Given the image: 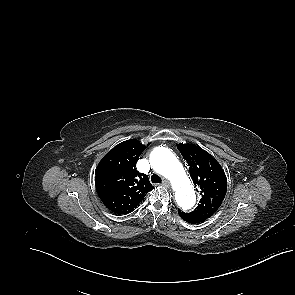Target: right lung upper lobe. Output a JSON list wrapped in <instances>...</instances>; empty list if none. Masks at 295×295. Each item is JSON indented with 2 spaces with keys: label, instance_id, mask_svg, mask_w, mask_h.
<instances>
[{
  "label": "right lung upper lobe",
  "instance_id": "1",
  "mask_svg": "<svg viewBox=\"0 0 295 295\" xmlns=\"http://www.w3.org/2000/svg\"><path fill=\"white\" fill-rule=\"evenodd\" d=\"M145 149L138 140L124 141L100 161L95 185L103 204L119 215L132 212L154 187L148 176L136 170V163Z\"/></svg>",
  "mask_w": 295,
  "mask_h": 295
}]
</instances>
